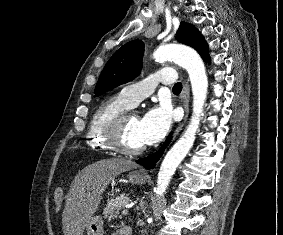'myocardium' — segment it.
Listing matches in <instances>:
<instances>
[{"mask_svg": "<svg viewBox=\"0 0 283 235\" xmlns=\"http://www.w3.org/2000/svg\"><path fill=\"white\" fill-rule=\"evenodd\" d=\"M130 115L129 112L125 111L113 118L106 126L104 136L107 144L114 152L127 156H135L141 154L146 147L142 145L138 148H128L124 145L122 134L125 123Z\"/></svg>", "mask_w": 283, "mask_h": 235, "instance_id": "obj_1", "label": "myocardium"}]
</instances>
